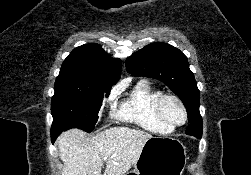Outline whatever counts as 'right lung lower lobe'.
<instances>
[{"mask_svg": "<svg viewBox=\"0 0 251 175\" xmlns=\"http://www.w3.org/2000/svg\"><path fill=\"white\" fill-rule=\"evenodd\" d=\"M57 137H58V134L51 131L52 143H54V141L56 140Z\"/></svg>", "mask_w": 251, "mask_h": 175, "instance_id": "obj_1", "label": "right lung lower lobe"}]
</instances>
